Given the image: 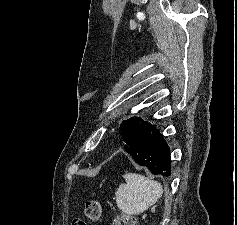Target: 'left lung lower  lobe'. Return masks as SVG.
Segmentation results:
<instances>
[{"label": "left lung lower lobe", "mask_w": 237, "mask_h": 225, "mask_svg": "<svg viewBox=\"0 0 237 225\" xmlns=\"http://www.w3.org/2000/svg\"><path fill=\"white\" fill-rule=\"evenodd\" d=\"M124 149L141 166L151 173L165 177L171 174L170 149L155 126L138 117L121 124Z\"/></svg>", "instance_id": "obj_1"}]
</instances>
